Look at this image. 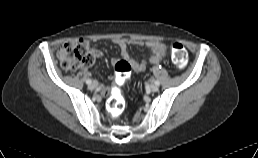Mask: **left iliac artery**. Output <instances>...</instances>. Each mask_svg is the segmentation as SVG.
<instances>
[{
	"label": "left iliac artery",
	"mask_w": 258,
	"mask_h": 158,
	"mask_svg": "<svg viewBox=\"0 0 258 158\" xmlns=\"http://www.w3.org/2000/svg\"><path fill=\"white\" fill-rule=\"evenodd\" d=\"M154 83L158 86L160 85V82L158 80L154 81Z\"/></svg>",
	"instance_id": "44dca946"
}]
</instances>
